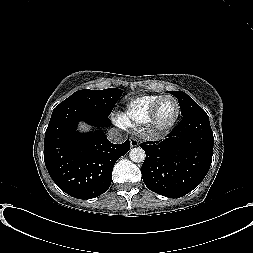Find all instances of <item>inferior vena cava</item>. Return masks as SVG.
Returning <instances> with one entry per match:
<instances>
[{"label": "inferior vena cava", "instance_id": "obj_1", "mask_svg": "<svg viewBox=\"0 0 253 253\" xmlns=\"http://www.w3.org/2000/svg\"><path fill=\"white\" fill-rule=\"evenodd\" d=\"M107 139L113 143H122L125 141V137L115 128L109 129Z\"/></svg>", "mask_w": 253, "mask_h": 253}]
</instances>
